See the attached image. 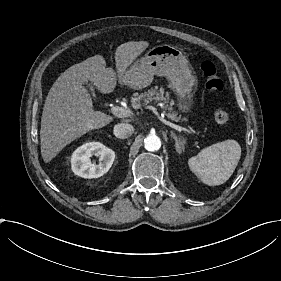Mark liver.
<instances>
[{
  "label": "liver",
  "instance_id": "liver-1",
  "mask_svg": "<svg viewBox=\"0 0 281 281\" xmlns=\"http://www.w3.org/2000/svg\"><path fill=\"white\" fill-rule=\"evenodd\" d=\"M146 47L145 41L120 45L115 53L118 73L121 75ZM87 79L102 93L112 92L117 82L116 71L106 67L99 55L72 65L58 77L48 92L41 118L40 148L45 162L77 137L112 120L105 113L93 110L91 96L83 85Z\"/></svg>",
  "mask_w": 281,
  "mask_h": 281
}]
</instances>
